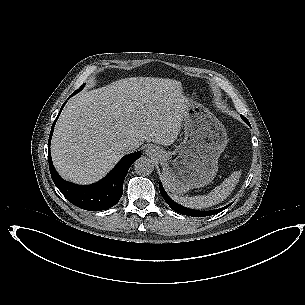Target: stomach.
<instances>
[{
  "label": "stomach",
  "mask_w": 305,
  "mask_h": 305,
  "mask_svg": "<svg viewBox=\"0 0 305 305\" xmlns=\"http://www.w3.org/2000/svg\"><path fill=\"white\" fill-rule=\"evenodd\" d=\"M183 127L179 146L158 156L164 185L174 194L208 185L217 174L218 158L228 142L224 125L193 100H188L184 110Z\"/></svg>",
  "instance_id": "1"
}]
</instances>
